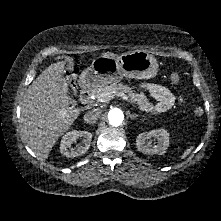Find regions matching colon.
I'll list each match as a JSON object with an SVG mask.
<instances>
[{"label": "colon", "instance_id": "obj_1", "mask_svg": "<svg viewBox=\"0 0 221 221\" xmlns=\"http://www.w3.org/2000/svg\"><path fill=\"white\" fill-rule=\"evenodd\" d=\"M75 73H76V66H73L72 69H71L70 75L73 76V75H75ZM170 79H171L172 82L178 83L180 81V76L176 73H173V74H171ZM203 113H204V110H203L202 107L196 106L194 108V114L197 117H201L203 115Z\"/></svg>", "mask_w": 221, "mask_h": 221}]
</instances>
